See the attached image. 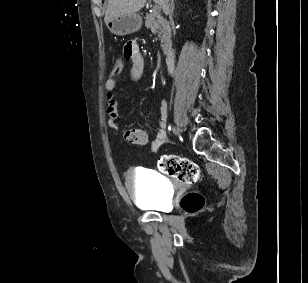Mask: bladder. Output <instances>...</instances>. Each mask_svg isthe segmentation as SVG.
Returning a JSON list of instances; mask_svg holds the SVG:
<instances>
[{
    "instance_id": "obj_1",
    "label": "bladder",
    "mask_w": 308,
    "mask_h": 283,
    "mask_svg": "<svg viewBox=\"0 0 308 283\" xmlns=\"http://www.w3.org/2000/svg\"><path fill=\"white\" fill-rule=\"evenodd\" d=\"M125 186L131 199L144 209L163 211L169 197V185L153 170L136 168L127 173Z\"/></svg>"
}]
</instances>
